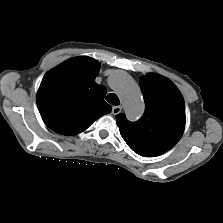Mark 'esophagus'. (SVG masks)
Segmentation results:
<instances>
[{
	"instance_id": "34e87169",
	"label": "esophagus",
	"mask_w": 223,
	"mask_h": 223,
	"mask_svg": "<svg viewBox=\"0 0 223 223\" xmlns=\"http://www.w3.org/2000/svg\"><path fill=\"white\" fill-rule=\"evenodd\" d=\"M121 110H122L121 106H114L112 108V114L113 115H117V114H119L121 112Z\"/></svg>"
}]
</instances>
